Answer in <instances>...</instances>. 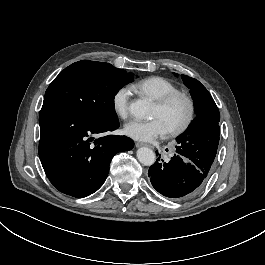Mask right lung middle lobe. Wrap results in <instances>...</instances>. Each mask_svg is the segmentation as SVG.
<instances>
[{
  "label": "right lung middle lobe",
  "instance_id": "1",
  "mask_svg": "<svg viewBox=\"0 0 265 265\" xmlns=\"http://www.w3.org/2000/svg\"><path fill=\"white\" fill-rule=\"evenodd\" d=\"M133 74L111 64L83 60L65 68L49 85L42 107H57L98 123L118 122L114 96Z\"/></svg>",
  "mask_w": 265,
  "mask_h": 265
}]
</instances>
